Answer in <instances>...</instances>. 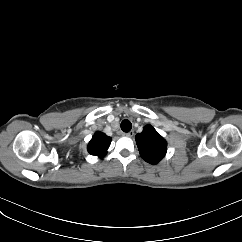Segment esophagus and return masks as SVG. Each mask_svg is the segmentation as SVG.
Returning a JSON list of instances; mask_svg holds the SVG:
<instances>
[{
	"mask_svg": "<svg viewBox=\"0 0 242 242\" xmlns=\"http://www.w3.org/2000/svg\"><path fill=\"white\" fill-rule=\"evenodd\" d=\"M124 135L127 136V137H133L134 136V131L131 130L128 133H125Z\"/></svg>",
	"mask_w": 242,
	"mask_h": 242,
	"instance_id": "obj_1",
	"label": "esophagus"
}]
</instances>
